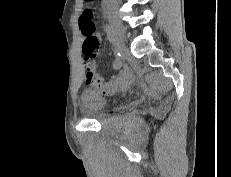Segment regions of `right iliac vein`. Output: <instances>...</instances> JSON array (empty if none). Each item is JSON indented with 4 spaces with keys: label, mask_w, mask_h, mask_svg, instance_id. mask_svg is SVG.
Returning <instances> with one entry per match:
<instances>
[{
    "label": "right iliac vein",
    "mask_w": 231,
    "mask_h": 177,
    "mask_svg": "<svg viewBox=\"0 0 231 177\" xmlns=\"http://www.w3.org/2000/svg\"><path fill=\"white\" fill-rule=\"evenodd\" d=\"M107 18L114 30L115 33V41L118 49L123 48L124 43V27L121 21L118 19L116 11L114 9L109 8L107 10Z\"/></svg>",
    "instance_id": "1"
}]
</instances>
